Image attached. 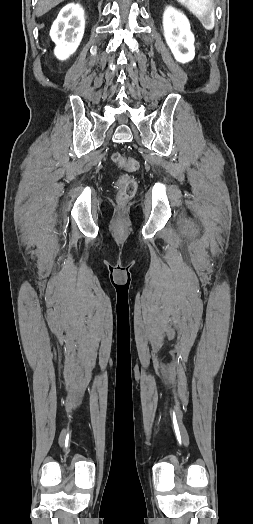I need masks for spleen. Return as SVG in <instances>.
Masks as SVG:
<instances>
[{
	"mask_svg": "<svg viewBox=\"0 0 253 524\" xmlns=\"http://www.w3.org/2000/svg\"><path fill=\"white\" fill-rule=\"evenodd\" d=\"M195 15L207 30H212L215 19L212 15V0H177Z\"/></svg>",
	"mask_w": 253,
	"mask_h": 524,
	"instance_id": "spleen-1",
	"label": "spleen"
}]
</instances>
